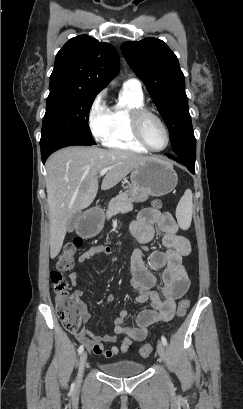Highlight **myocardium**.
I'll use <instances>...</instances> for the list:
<instances>
[{
    "label": "myocardium",
    "instance_id": "obj_1",
    "mask_svg": "<svg viewBox=\"0 0 243 409\" xmlns=\"http://www.w3.org/2000/svg\"><path fill=\"white\" fill-rule=\"evenodd\" d=\"M146 117H152L155 120H157L161 126L164 129V132L166 134V144L163 148L161 149H155L153 148L145 139L144 133H143V121ZM130 123H131V129L132 132L135 136V138L138 140V142L144 146L147 150L152 151V152H162L166 150L170 144V131L165 123V121L155 112L145 108V107H140L132 110L130 114Z\"/></svg>",
    "mask_w": 243,
    "mask_h": 409
}]
</instances>
